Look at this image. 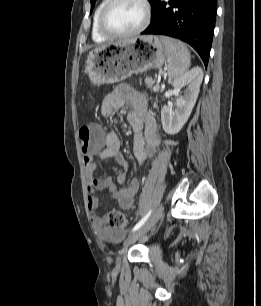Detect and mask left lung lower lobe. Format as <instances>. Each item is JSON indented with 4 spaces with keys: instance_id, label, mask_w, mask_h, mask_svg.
Returning <instances> with one entry per match:
<instances>
[{
    "instance_id": "1",
    "label": "left lung lower lobe",
    "mask_w": 261,
    "mask_h": 306,
    "mask_svg": "<svg viewBox=\"0 0 261 306\" xmlns=\"http://www.w3.org/2000/svg\"><path fill=\"white\" fill-rule=\"evenodd\" d=\"M152 21L141 34H160L190 44L207 67L217 0H153Z\"/></svg>"
}]
</instances>
